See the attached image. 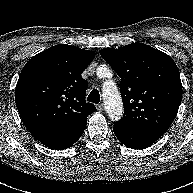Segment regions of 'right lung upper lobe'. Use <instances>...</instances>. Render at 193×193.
Listing matches in <instances>:
<instances>
[{
  "mask_svg": "<svg viewBox=\"0 0 193 193\" xmlns=\"http://www.w3.org/2000/svg\"><path fill=\"white\" fill-rule=\"evenodd\" d=\"M95 52L58 44L32 57L15 89L19 114L41 143L64 138L86 127L96 111L85 101L87 81L80 76Z\"/></svg>",
  "mask_w": 193,
  "mask_h": 193,
  "instance_id": "right-lung-upper-lobe-1",
  "label": "right lung upper lobe"
}]
</instances>
